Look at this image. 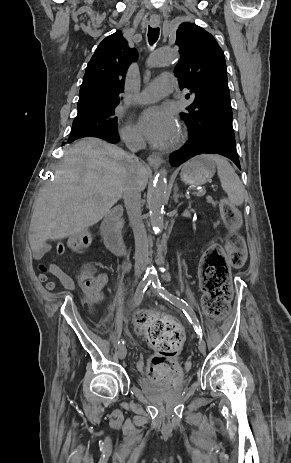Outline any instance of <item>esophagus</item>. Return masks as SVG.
Returning <instances> with one entry per match:
<instances>
[{"instance_id":"obj_1","label":"esophagus","mask_w":291,"mask_h":463,"mask_svg":"<svg viewBox=\"0 0 291 463\" xmlns=\"http://www.w3.org/2000/svg\"><path fill=\"white\" fill-rule=\"evenodd\" d=\"M150 23L154 27L158 26L160 24L159 17H151ZM147 161L152 167H159L163 160L159 154L153 153L148 156Z\"/></svg>"}]
</instances>
